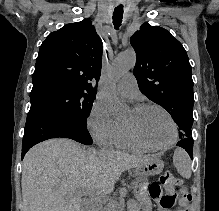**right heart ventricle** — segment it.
<instances>
[{"instance_id":"right-heart-ventricle-1","label":"right heart ventricle","mask_w":219,"mask_h":211,"mask_svg":"<svg viewBox=\"0 0 219 211\" xmlns=\"http://www.w3.org/2000/svg\"><path fill=\"white\" fill-rule=\"evenodd\" d=\"M119 123L118 134L115 140V145L119 148L133 151L145 150L143 147L136 144L127 134L123 123Z\"/></svg>"}]
</instances>
